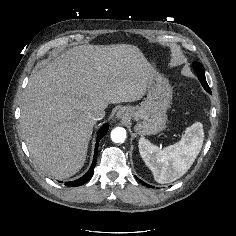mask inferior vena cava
<instances>
[{"instance_id": "1", "label": "inferior vena cava", "mask_w": 236, "mask_h": 236, "mask_svg": "<svg viewBox=\"0 0 236 236\" xmlns=\"http://www.w3.org/2000/svg\"><path fill=\"white\" fill-rule=\"evenodd\" d=\"M105 116V111L102 108H94L90 111V117L94 120V121H98L103 119Z\"/></svg>"}]
</instances>
